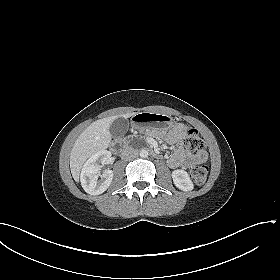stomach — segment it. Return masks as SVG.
I'll list each match as a JSON object with an SVG mask.
<instances>
[{"instance_id":"stomach-1","label":"stomach","mask_w":280,"mask_h":280,"mask_svg":"<svg viewBox=\"0 0 280 280\" xmlns=\"http://www.w3.org/2000/svg\"><path fill=\"white\" fill-rule=\"evenodd\" d=\"M135 127L152 126L160 131H167L173 126V119L166 114L141 112L133 116Z\"/></svg>"}]
</instances>
